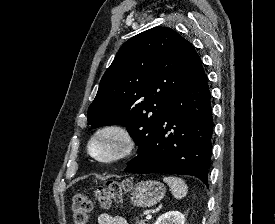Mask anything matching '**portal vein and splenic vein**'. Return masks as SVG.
<instances>
[{
    "instance_id": "portal-vein-and-splenic-vein-1",
    "label": "portal vein and splenic vein",
    "mask_w": 275,
    "mask_h": 224,
    "mask_svg": "<svg viewBox=\"0 0 275 224\" xmlns=\"http://www.w3.org/2000/svg\"><path fill=\"white\" fill-rule=\"evenodd\" d=\"M151 218H152V215H151V214H147V215H146V219H147V220H149V219H151Z\"/></svg>"
}]
</instances>
